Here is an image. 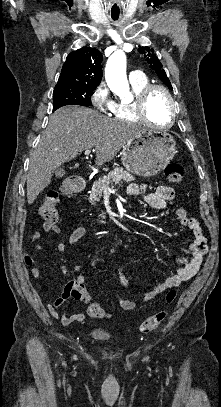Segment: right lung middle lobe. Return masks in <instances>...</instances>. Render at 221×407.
Masks as SVG:
<instances>
[{"instance_id":"dd1d6c3e","label":"right lung middle lobe","mask_w":221,"mask_h":407,"mask_svg":"<svg viewBox=\"0 0 221 407\" xmlns=\"http://www.w3.org/2000/svg\"><path fill=\"white\" fill-rule=\"evenodd\" d=\"M96 86L67 85L53 91V110L65 105L92 106L90 95Z\"/></svg>"}]
</instances>
